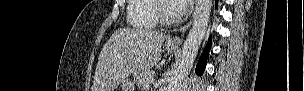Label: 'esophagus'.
Instances as JSON below:
<instances>
[{
	"instance_id": "obj_1",
	"label": "esophagus",
	"mask_w": 304,
	"mask_h": 91,
	"mask_svg": "<svg viewBox=\"0 0 304 91\" xmlns=\"http://www.w3.org/2000/svg\"><path fill=\"white\" fill-rule=\"evenodd\" d=\"M192 24V20H190L183 28L182 33H184ZM169 43L174 46H180L182 43V39L179 36H175L169 40Z\"/></svg>"
}]
</instances>
